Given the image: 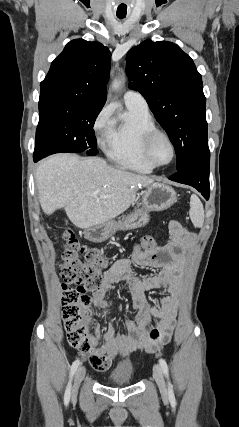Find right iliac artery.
Here are the masks:
<instances>
[{"label": "right iliac artery", "mask_w": 239, "mask_h": 427, "mask_svg": "<svg viewBox=\"0 0 239 427\" xmlns=\"http://www.w3.org/2000/svg\"><path fill=\"white\" fill-rule=\"evenodd\" d=\"M80 365V361L77 359L73 362L72 366H71V370H70V376H69V382L64 394V402L65 404H68L69 400H70V395H71V381L73 378V375L75 374L78 366Z\"/></svg>", "instance_id": "obj_1"}]
</instances>
